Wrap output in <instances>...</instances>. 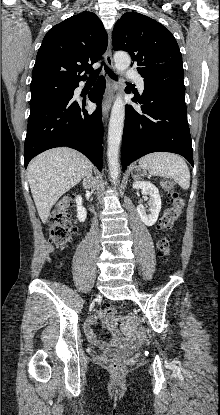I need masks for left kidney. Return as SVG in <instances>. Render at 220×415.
<instances>
[{"instance_id":"obj_1","label":"left kidney","mask_w":220,"mask_h":415,"mask_svg":"<svg viewBox=\"0 0 220 415\" xmlns=\"http://www.w3.org/2000/svg\"><path fill=\"white\" fill-rule=\"evenodd\" d=\"M133 189H140L142 194L149 196V214L146 213L143 206L137 207V212L142 222L147 226H153L159 216L161 210V197L155 185L146 181H135L132 185Z\"/></svg>"}]
</instances>
